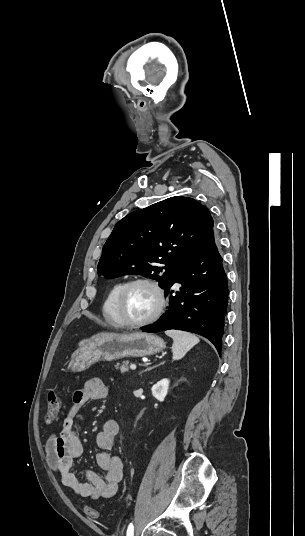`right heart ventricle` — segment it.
<instances>
[{
	"mask_svg": "<svg viewBox=\"0 0 305 536\" xmlns=\"http://www.w3.org/2000/svg\"><path fill=\"white\" fill-rule=\"evenodd\" d=\"M125 282L117 281L109 289L102 306V316L106 323L114 327L121 326V320L117 316L115 301L120 288Z\"/></svg>",
	"mask_w": 305,
	"mask_h": 536,
	"instance_id": "obj_1",
	"label": "right heart ventricle"
}]
</instances>
